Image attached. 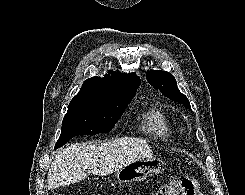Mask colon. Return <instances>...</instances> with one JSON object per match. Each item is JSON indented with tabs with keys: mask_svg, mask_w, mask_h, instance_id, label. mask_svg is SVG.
I'll return each mask as SVG.
<instances>
[{
	"mask_svg": "<svg viewBox=\"0 0 245 195\" xmlns=\"http://www.w3.org/2000/svg\"><path fill=\"white\" fill-rule=\"evenodd\" d=\"M199 184L193 177L185 176L163 186L157 195H197Z\"/></svg>",
	"mask_w": 245,
	"mask_h": 195,
	"instance_id": "5ec220e1",
	"label": "colon"
}]
</instances>
